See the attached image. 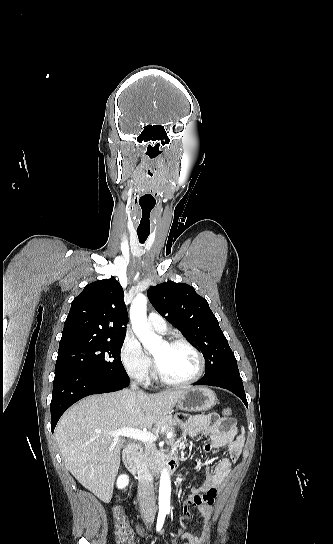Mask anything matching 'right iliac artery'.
I'll list each match as a JSON object with an SVG mask.
<instances>
[{"label": "right iliac artery", "instance_id": "right-iliac-artery-1", "mask_svg": "<svg viewBox=\"0 0 333 544\" xmlns=\"http://www.w3.org/2000/svg\"><path fill=\"white\" fill-rule=\"evenodd\" d=\"M165 516H166V513L165 512H160L158 514V519H157V525H156V530L159 532L162 527H163V524H164V520H165Z\"/></svg>", "mask_w": 333, "mask_h": 544}]
</instances>
